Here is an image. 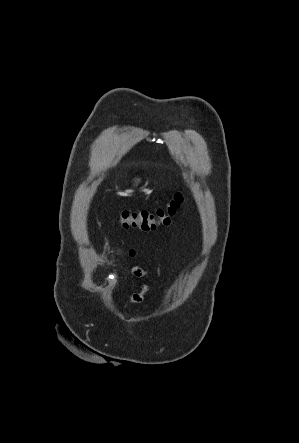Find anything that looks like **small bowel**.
Returning a JSON list of instances; mask_svg holds the SVG:
<instances>
[{
    "mask_svg": "<svg viewBox=\"0 0 299 443\" xmlns=\"http://www.w3.org/2000/svg\"><path fill=\"white\" fill-rule=\"evenodd\" d=\"M128 255L130 257H134L136 255V251L130 250ZM131 271H132V274L138 278L144 277L147 274V271L139 266H133ZM148 290H149L148 286L143 285L140 291L135 292L131 295L129 302L133 303V304L142 303Z\"/></svg>",
    "mask_w": 299,
    "mask_h": 443,
    "instance_id": "small-bowel-1",
    "label": "small bowel"
}]
</instances>
